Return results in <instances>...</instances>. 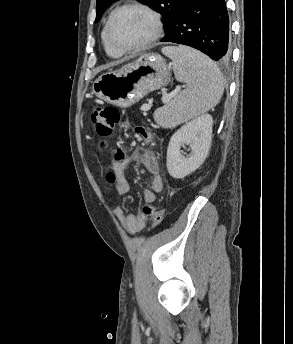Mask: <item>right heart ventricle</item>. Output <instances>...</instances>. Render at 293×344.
Instances as JSON below:
<instances>
[{"mask_svg": "<svg viewBox=\"0 0 293 344\" xmlns=\"http://www.w3.org/2000/svg\"><path fill=\"white\" fill-rule=\"evenodd\" d=\"M101 38H102V42H103V46L105 49V52L107 53V55L113 59H118L122 56V54H119L117 52H115L113 49H111V47L107 44L106 38H105V27L102 30L101 33Z\"/></svg>", "mask_w": 293, "mask_h": 344, "instance_id": "1", "label": "right heart ventricle"}]
</instances>
